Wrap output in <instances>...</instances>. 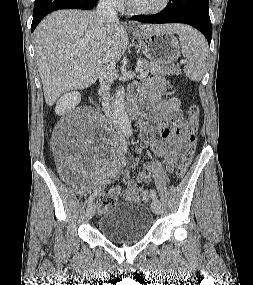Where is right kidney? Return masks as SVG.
<instances>
[{
	"label": "right kidney",
	"mask_w": 253,
	"mask_h": 285,
	"mask_svg": "<svg viewBox=\"0 0 253 285\" xmlns=\"http://www.w3.org/2000/svg\"><path fill=\"white\" fill-rule=\"evenodd\" d=\"M81 100V96L78 92L65 93L59 98L56 104L55 112L58 115H64L71 109H73Z\"/></svg>",
	"instance_id": "ca27d5eb"
}]
</instances>
